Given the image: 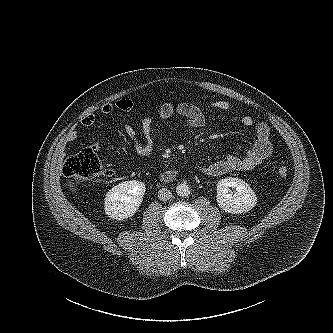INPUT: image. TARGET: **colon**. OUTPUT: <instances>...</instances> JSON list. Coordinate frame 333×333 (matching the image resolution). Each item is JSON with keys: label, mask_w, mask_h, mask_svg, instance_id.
<instances>
[{"label": "colon", "mask_w": 333, "mask_h": 333, "mask_svg": "<svg viewBox=\"0 0 333 333\" xmlns=\"http://www.w3.org/2000/svg\"><path fill=\"white\" fill-rule=\"evenodd\" d=\"M64 173L79 182H88L104 172L103 166L91 148H85L68 157L63 166ZM278 174L285 178L288 175V168L285 165H279Z\"/></svg>", "instance_id": "1"}]
</instances>
